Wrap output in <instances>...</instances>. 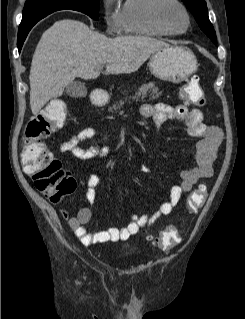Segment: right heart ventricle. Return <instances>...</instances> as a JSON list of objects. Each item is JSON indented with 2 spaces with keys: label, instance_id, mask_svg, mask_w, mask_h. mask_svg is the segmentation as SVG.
Returning a JSON list of instances; mask_svg holds the SVG:
<instances>
[{
  "label": "right heart ventricle",
  "instance_id": "e07e8e85",
  "mask_svg": "<svg viewBox=\"0 0 245 319\" xmlns=\"http://www.w3.org/2000/svg\"><path fill=\"white\" fill-rule=\"evenodd\" d=\"M155 0H123L119 9L121 31L126 34L166 36L168 33L159 27L151 15Z\"/></svg>",
  "mask_w": 245,
  "mask_h": 319
}]
</instances>
